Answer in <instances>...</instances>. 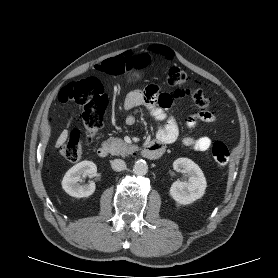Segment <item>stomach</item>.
Wrapping results in <instances>:
<instances>
[{
    "instance_id": "1",
    "label": "stomach",
    "mask_w": 278,
    "mask_h": 278,
    "mask_svg": "<svg viewBox=\"0 0 278 278\" xmlns=\"http://www.w3.org/2000/svg\"><path fill=\"white\" fill-rule=\"evenodd\" d=\"M141 77V73L139 71H134L132 72V74L129 76V80L130 81H136L138 79H140Z\"/></svg>"
}]
</instances>
